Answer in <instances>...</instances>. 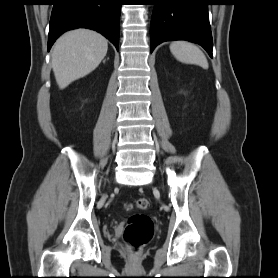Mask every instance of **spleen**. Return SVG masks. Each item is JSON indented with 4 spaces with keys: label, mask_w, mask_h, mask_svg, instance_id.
<instances>
[{
    "label": "spleen",
    "mask_w": 278,
    "mask_h": 278,
    "mask_svg": "<svg viewBox=\"0 0 278 278\" xmlns=\"http://www.w3.org/2000/svg\"><path fill=\"white\" fill-rule=\"evenodd\" d=\"M170 51L177 60L183 63L196 64L208 69V61L204 53L193 43L174 41L170 44Z\"/></svg>",
    "instance_id": "spleen-1"
}]
</instances>
